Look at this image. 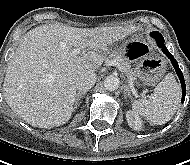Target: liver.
Listing matches in <instances>:
<instances>
[{
	"instance_id": "liver-1",
	"label": "liver",
	"mask_w": 190,
	"mask_h": 165,
	"mask_svg": "<svg viewBox=\"0 0 190 165\" xmlns=\"http://www.w3.org/2000/svg\"><path fill=\"white\" fill-rule=\"evenodd\" d=\"M135 30L59 23L30 30L7 66L3 83L7 104L35 127L50 129L67 123L74 111L77 76L98 69L107 48ZM77 48L88 52L73 55L71 51Z\"/></svg>"
}]
</instances>
